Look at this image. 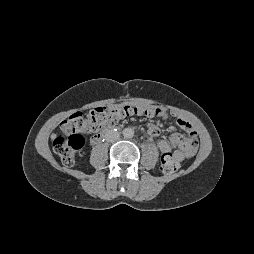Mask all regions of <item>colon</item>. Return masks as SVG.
<instances>
[{
    "label": "colon",
    "instance_id": "colon-1",
    "mask_svg": "<svg viewBox=\"0 0 254 254\" xmlns=\"http://www.w3.org/2000/svg\"><path fill=\"white\" fill-rule=\"evenodd\" d=\"M136 114L156 115L153 107L137 108L125 106H99L91 109L86 116L75 113L64 120L53 141L54 151L66 166H72L84 145V133L97 132L113 126L119 119ZM179 169L178 162L171 155H164L161 160V171L172 175Z\"/></svg>",
    "mask_w": 254,
    "mask_h": 254
}]
</instances>
